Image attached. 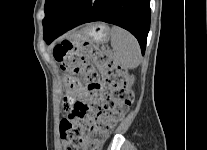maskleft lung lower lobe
I'll return each instance as SVG.
<instances>
[{
  "label": "left lung lower lobe",
  "instance_id": "obj_1",
  "mask_svg": "<svg viewBox=\"0 0 207 150\" xmlns=\"http://www.w3.org/2000/svg\"><path fill=\"white\" fill-rule=\"evenodd\" d=\"M93 21L120 26L138 40L142 54L150 28V0H72L44 40L50 44L68 30Z\"/></svg>",
  "mask_w": 207,
  "mask_h": 150
}]
</instances>
